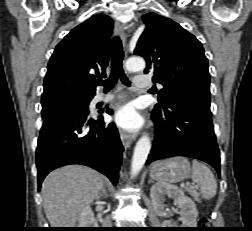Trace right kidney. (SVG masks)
<instances>
[{"label": "right kidney", "instance_id": "right-kidney-1", "mask_svg": "<svg viewBox=\"0 0 252 231\" xmlns=\"http://www.w3.org/2000/svg\"><path fill=\"white\" fill-rule=\"evenodd\" d=\"M98 224L94 218L91 208L88 206L79 215L80 228H97Z\"/></svg>", "mask_w": 252, "mask_h": 231}]
</instances>
